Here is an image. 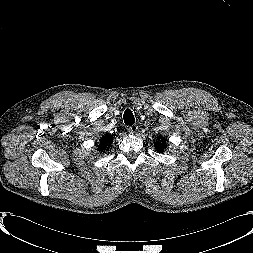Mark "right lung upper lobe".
<instances>
[{"instance_id": "obj_1", "label": "right lung upper lobe", "mask_w": 253, "mask_h": 253, "mask_svg": "<svg viewBox=\"0 0 253 253\" xmlns=\"http://www.w3.org/2000/svg\"><path fill=\"white\" fill-rule=\"evenodd\" d=\"M113 141V135L106 134L100 139V145L98 146L99 151L105 152L109 149V144Z\"/></svg>"}]
</instances>
